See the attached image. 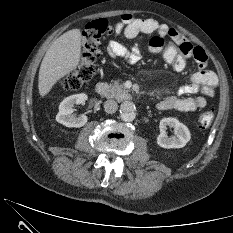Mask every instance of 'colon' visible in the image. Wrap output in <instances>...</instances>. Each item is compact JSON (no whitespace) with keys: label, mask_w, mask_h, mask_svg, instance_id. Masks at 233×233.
Returning a JSON list of instances; mask_svg holds the SVG:
<instances>
[{"label":"colon","mask_w":233,"mask_h":233,"mask_svg":"<svg viewBox=\"0 0 233 233\" xmlns=\"http://www.w3.org/2000/svg\"><path fill=\"white\" fill-rule=\"evenodd\" d=\"M112 30L111 23L106 19L93 20L87 24L82 34L81 58L77 68L61 81V87L65 90H78L91 80L94 73V64L100 56L102 37ZM149 47L153 52L162 53L166 62L176 71H182L186 67V58L177 46L168 42L166 37L153 36L149 41ZM214 119V111L203 113L197 127L207 128Z\"/></svg>","instance_id":"1"}]
</instances>
